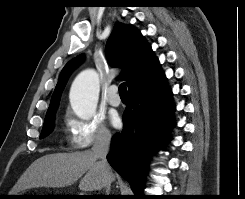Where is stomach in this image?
Listing matches in <instances>:
<instances>
[{
	"label": "stomach",
	"mask_w": 245,
	"mask_h": 199,
	"mask_svg": "<svg viewBox=\"0 0 245 199\" xmlns=\"http://www.w3.org/2000/svg\"><path fill=\"white\" fill-rule=\"evenodd\" d=\"M12 195H30V194H26V193L22 192V193H15ZM13 198H15V199H26L28 197L27 196H14Z\"/></svg>",
	"instance_id": "1"
}]
</instances>
